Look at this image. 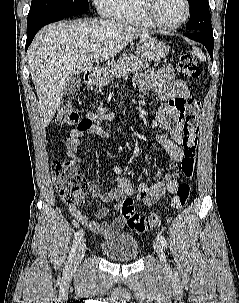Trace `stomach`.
Wrapping results in <instances>:
<instances>
[{
  "instance_id": "obj_1",
  "label": "stomach",
  "mask_w": 239,
  "mask_h": 303,
  "mask_svg": "<svg viewBox=\"0 0 239 303\" xmlns=\"http://www.w3.org/2000/svg\"><path fill=\"white\" fill-rule=\"evenodd\" d=\"M168 53L169 48L165 43L150 36L142 37L137 44V54L146 60L158 61L164 58ZM108 71L109 69L107 68L103 69L101 74L92 79V83L96 86H102L108 83Z\"/></svg>"
}]
</instances>
